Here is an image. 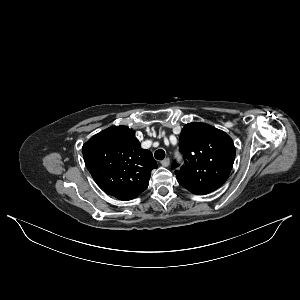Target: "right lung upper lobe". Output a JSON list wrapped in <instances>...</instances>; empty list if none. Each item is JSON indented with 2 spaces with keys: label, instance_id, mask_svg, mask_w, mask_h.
I'll use <instances>...</instances> for the list:
<instances>
[{
  "label": "right lung upper lobe",
  "instance_id": "cb5924a9",
  "mask_svg": "<svg viewBox=\"0 0 300 300\" xmlns=\"http://www.w3.org/2000/svg\"><path fill=\"white\" fill-rule=\"evenodd\" d=\"M85 164L97 185L119 200H131L149 184L157 168L152 153L142 149L135 132L126 126H112L82 147Z\"/></svg>",
  "mask_w": 300,
  "mask_h": 300
}]
</instances>
